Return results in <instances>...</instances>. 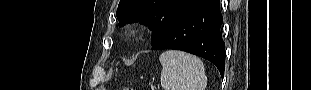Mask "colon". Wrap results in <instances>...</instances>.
<instances>
[{"label": "colon", "mask_w": 311, "mask_h": 90, "mask_svg": "<svg viewBox=\"0 0 311 90\" xmlns=\"http://www.w3.org/2000/svg\"><path fill=\"white\" fill-rule=\"evenodd\" d=\"M123 90H133L132 88H123Z\"/></svg>", "instance_id": "obj_1"}]
</instances>
